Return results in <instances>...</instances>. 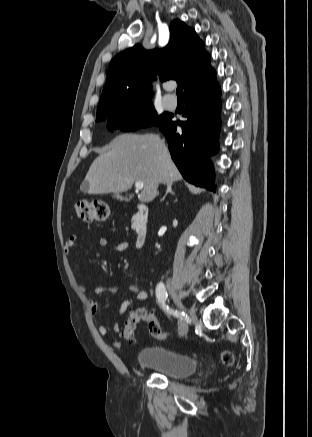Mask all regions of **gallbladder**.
<instances>
[{
  "instance_id": "obj_1",
  "label": "gallbladder",
  "mask_w": 312,
  "mask_h": 437,
  "mask_svg": "<svg viewBox=\"0 0 312 437\" xmlns=\"http://www.w3.org/2000/svg\"><path fill=\"white\" fill-rule=\"evenodd\" d=\"M117 198H119L120 200H126V201H129V200H130V198H122V197H120V196H117Z\"/></svg>"
}]
</instances>
